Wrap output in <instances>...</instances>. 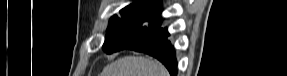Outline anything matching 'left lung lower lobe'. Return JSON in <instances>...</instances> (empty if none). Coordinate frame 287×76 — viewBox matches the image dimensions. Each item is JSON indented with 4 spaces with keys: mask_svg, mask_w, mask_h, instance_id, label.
<instances>
[{
    "mask_svg": "<svg viewBox=\"0 0 287 76\" xmlns=\"http://www.w3.org/2000/svg\"><path fill=\"white\" fill-rule=\"evenodd\" d=\"M168 36L169 33L166 28H159L150 32L139 41L129 44L120 50L131 49L149 54L161 61L172 76H176L177 62L174 49L170 41L167 40Z\"/></svg>",
    "mask_w": 287,
    "mask_h": 76,
    "instance_id": "1",
    "label": "left lung lower lobe"
}]
</instances>
